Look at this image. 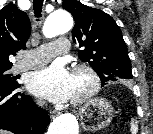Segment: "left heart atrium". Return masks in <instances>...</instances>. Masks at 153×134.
<instances>
[{
    "mask_svg": "<svg viewBox=\"0 0 153 134\" xmlns=\"http://www.w3.org/2000/svg\"><path fill=\"white\" fill-rule=\"evenodd\" d=\"M27 87L36 96L62 103L72 96V74L62 63H53L32 72Z\"/></svg>",
    "mask_w": 153,
    "mask_h": 134,
    "instance_id": "39dd6f15",
    "label": "left heart atrium"
}]
</instances>
